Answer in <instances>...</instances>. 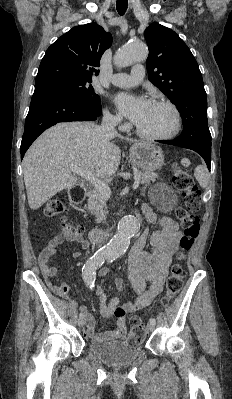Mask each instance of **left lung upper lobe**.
Masks as SVG:
<instances>
[{
	"instance_id": "obj_1",
	"label": "left lung upper lobe",
	"mask_w": 232,
	"mask_h": 399,
	"mask_svg": "<svg viewBox=\"0 0 232 399\" xmlns=\"http://www.w3.org/2000/svg\"><path fill=\"white\" fill-rule=\"evenodd\" d=\"M148 79L176 105L183 120L177 141L211 150L207 96L198 64L173 30L156 22L145 30Z\"/></svg>"
}]
</instances>
